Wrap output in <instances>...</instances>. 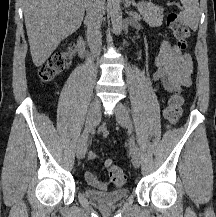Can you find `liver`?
Wrapping results in <instances>:
<instances>
[{
    "label": "liver",
    "mask_w": 216,
    "mask_h": 217,
    "mask_svg": "<svg viewBox=\"0 0 216 217\" xmlns=\"http://www.w3.org/2000/svg\"><path fill=\"white\" fill-rule=\"evenodd\" d=\"M85 4L86 0H24L25 26L36 67L81 26Z\"/></svg>",
    "instance_id": "obj_1"
}]
</instances>
